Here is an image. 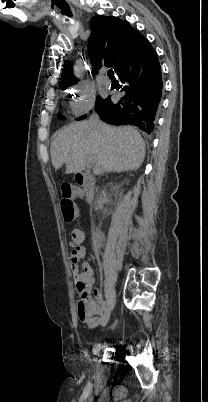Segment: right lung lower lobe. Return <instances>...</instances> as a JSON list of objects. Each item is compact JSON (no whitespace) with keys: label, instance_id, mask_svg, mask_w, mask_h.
Here are the masks:
<instances>
[{"label":"right lung lower lobe","instance_id":"right-lung-lower-lobe-1","mask_svg":"<svg viewBox=\"0 0 208 402\" xmlns=\"http://www.w3.org/2000/svg\"><path fill=\"white\" fill-rule=\"evenodd\" d=\"M117 74L125 85L121 101L96 109L103 122L112 125L131 124L150 134L162 97L160 63L149 41L139 35L119 60Z\"/></svg>","mask_w":208,"mask_h":402}]
</instances>
